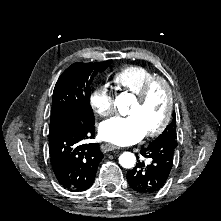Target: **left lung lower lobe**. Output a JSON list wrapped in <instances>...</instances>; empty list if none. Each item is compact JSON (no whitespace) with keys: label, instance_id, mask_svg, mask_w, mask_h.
<instances>
[{"label":"left lung lower lobe","instance_id":"left-lung-lower-lobe-1","mask_svg":"<svg viewBox=\"0 0 221 221\" xmlns=\"http://www.w3.org/2000/svg\"><path fill=\"white\" fill-rule=\"evenodd\" d=\"M176 146L174 140L161 139L143 147L140 153L149 158V162L138 160L137 165L127 172L130 187L140 194L158 192L169 178Z\"/></svg>","mask_w":221,"mask_h":221}]
</instances>
